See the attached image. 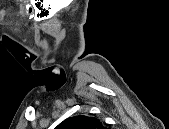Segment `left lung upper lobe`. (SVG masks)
<instances>
[{"label": "left lung upper lobe", "instance_id": "obj_1", "mask_svg": "<svg viewBox=\"0 0 169 129\" xmlns=\"http://www.w3.org/2000/svg\"><path fill=\"white\" fill-rule=\"evenodd\" d=\"M58 129H104L102 123L96 118L79 115L67 118L61 122Z\"/></svg>", "mask_w": 169, "mask_h": 129}]
</instances>
